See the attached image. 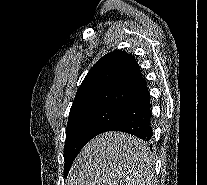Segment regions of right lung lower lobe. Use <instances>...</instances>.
<instances>
[{
    "label": "right lung lower lobe",
    "mask_w": 207,
    "mask_h": 185,
    "mask_svg": "<svg viewBox=\"0 0 207 185\" xmlns=\"http://www.w3.org/2000/svg\"><path fill=\"white\" fill-rule=\"evenodd\" d=\"M151 115L150 94L147 90L126 107L105 131H122L149 141L153 135Z\"/></svg>",
    "instance_id": "1"
}]
</instances>
